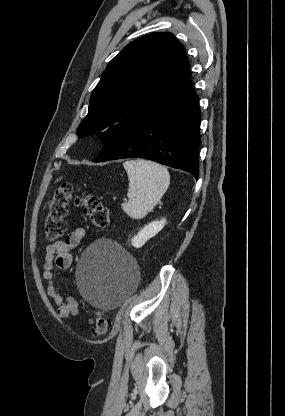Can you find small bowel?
<instances>
[{
    "mask_svg": "<svg viewBox=\"0 0 285 416\" xmlns=\"http://www.w3.org/2000/svg\"><path fill=\"white\" fill-rule=\"evenodd\" d=\"M85 234L84 228L77 227L68 233L64 240L50 243L46 247L42 277L47 282V295L57 306V314L62 319L76 315L79 306L74 297L65 294L57 286L54 271L70 268L73 262L72 252L80 244Z\"/></svg>",
    "mask_w": 285,
    "mask_h": 416,
    "instance_id": "1",
    "label": "small bowel"
}]
</instances>
